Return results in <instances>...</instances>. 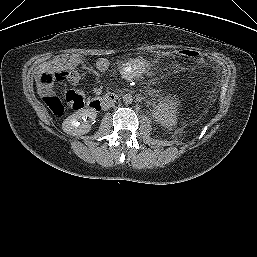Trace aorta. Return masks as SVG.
Returning a JSON list of instances; mask_svg holds the SVG:
<instances>
[{
    "mask_svg": "<svg viewBox=\"0 0 257 257\" xmlns=\"http://www.w3.org/2000/svg\"><path fill=\"white\" fill-rule=\"evenodd\" d=\"M122 98L123 102L126 104H131L133 102V97L131 94H125Z\"/></svg>",
    "mask_w": 257,
    "mask_h": 257,
    "instance_id": "obj_1",
    "label": "aorta"
}]
</instances>
